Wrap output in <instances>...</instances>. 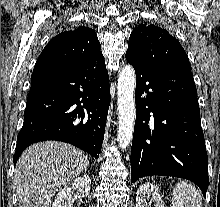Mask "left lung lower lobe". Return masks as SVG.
I'll use <instances>...</instances> for the list:
<instances>
[{
    "mask_svg": "<svg viewBox=\"0 0 220 207\" xmlns=\"http://www.w3.org/2000/svg\"><path fill=\"white\" fill-rule=\"evenodd\" d=\"M126 59L136 72L131 182L150 175L180 177L206 196L208 157L191 70L154 69L128 54Z\"/></svg>",
    "mask_w": 220,
    "mask_h": 207,
    "instance_id": "1",
    "label": "left lung lower lobe"
}]
</instances>
